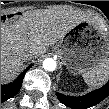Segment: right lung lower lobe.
I'll return each mask as SVG.
<instances>
[{"label":"right lung lower lobe","mask_w":109,"mask_h":109,"mask_svg":"<svg viewBox=\"0 0 109 109\" xmlns=\"http://www.w3.org/2000/svg\"><path fill=\"white\" fill-rule=\"evenodd\" d=\"M30 67L31 66H29L26 70H28ZM26 70H24L12 84L1 86V103L9 98H12L18 93L22 86V81Z\"/></svg>","instance_id":"obj_1"}]
</instances>
